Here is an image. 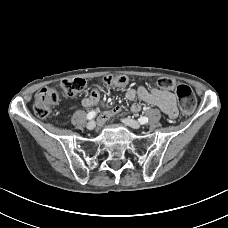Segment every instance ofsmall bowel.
<instances>
[{"instance_id": "obj_1", "label": "small bowel", "mask_w": 228, "mask_h": 228, "mask_svg": "<svg viewBox=\"0 0 228 228\" xmlns=\"http://www.w3.org/2000/svg\"><path fill=\"white\" fill-rule=\"evenodd\" d=\"M125 97L129 101H134L135 99L139 98L148 104L156 106L170 119H174L178 116L175 95L169 90H163L158 88L148 89L145 86H139L138 88L127 89L125 92ZM99 101V92L97 89H93L88 96L83 98L82 104L85 107H92L98 104ZM130 110L137 113L141 110V106L138 103H133L130 107ZM121 111H123V107L116 106L104 112V114L100 117V121L106 122L110 118L119 114Z\"/></svg>"}]
</instances>
